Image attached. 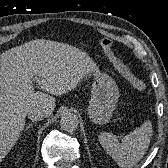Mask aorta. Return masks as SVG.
<instances>
[{
    "mask_svg": "<svg viewBox=\"0 0 168 168\" xmlns=\"http://www.w3.org/2000/svg\"><path fill=\"white\" fill-rule=\"evenodd\" d=\"M78 117L73 113H67L61 117L60 126L67 132H73L78 127Z\"/></svg>",
    "mask_w": 168,
    "mask_h": 168,
    "instance_id": "762f6f07",
    "label": "aorta"
}]
</instances>
